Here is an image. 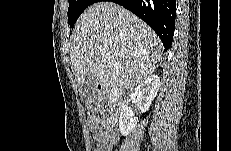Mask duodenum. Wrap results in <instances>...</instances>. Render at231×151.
<instances>
[{
	"instance_id": "duodenum-1",
	"label": "duodenum",
	"mask_w": 231,
	"mask_h": 151,
	"mask_svg": "<svg viewBox=\"0 0 231 151\" xmlns=\"http://www.w3.org/2000/svg\"><path fill=\"white\" fill-rule=\"evenodd\" d=\"M97 92L104 95L105 100L107 101L110 110L114 112L113 119H115L121 110L122 101L120 92L117 88H110L108 85L99 83L97 85Z\"/></svg>"
}]
</instances>
